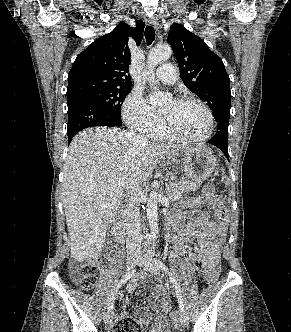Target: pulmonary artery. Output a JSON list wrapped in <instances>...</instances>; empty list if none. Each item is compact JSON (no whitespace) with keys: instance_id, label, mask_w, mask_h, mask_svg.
Returning <instances> with one entry per match:
<instances>
[{"instance_id":"obj_1","label":"pulmonary artery","mask_w":291,"mask_h":332,"mask_svg":"<svg viewBox=\"0 0 291 332\" xmlns=\"http://www.w3.org/2000/svg\"><path fill=\"white\" fill-rule=\"evenodd\" d=\"M155 76L165 84H174L178 79L175 67L171 63L159 66L155 72Z\"/></svg>"}]
</instances>
